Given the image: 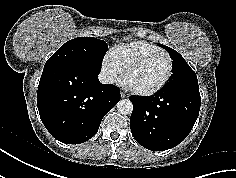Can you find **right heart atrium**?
<instances>
[{"instance_id":"d8ad5b80","label":"right heart atrium","mask_w":236,"mask_h":178,"mask_svg":"<svg viewBox=\"0 0 236 178\" xmlns=\"http://www.w3.org/2000/svg\"><path fill=\"white\" fill-rule=\"evenodd\" d=\"M101 69L108 82L118 83L120 81L121 72L108 55L103 58Z\"/></svg>"}]
</instances>
